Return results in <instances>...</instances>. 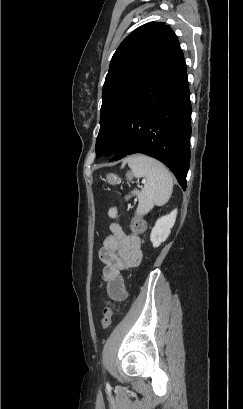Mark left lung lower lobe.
Listing matches in <instances>:
<instances>
[{"label":"left lung lower lobe","mask_w":243,"mask_h":409,"mask_svg":"<svg viewBox=\"0 0 243 409\" xmlns=\"http://www.w3.org/2000/svg\"><path fill=\"white\" fill-rule=\"evenodd\" d=\"M191 112L186 64L178 46L143 90L110 161L134 153L146 154L168 166L185 190Z\"/></svg>","instance_id":"0a47b994"}]
</instances>
